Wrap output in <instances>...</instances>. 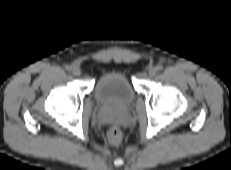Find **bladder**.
I'll return each instance as SVG.
<instances>
[{"instance_id": "1", "label": "bladder", "mask_w": 231, "mask_h": 170, "mask_svg": "<svg viewBox=\"0 0 231 170\" xmlns=\"http://www.w3.org/2000/svg\"><path fill=\"white\" fill-rule=\"evenodd\" d=\"M93 97L103 110L124 111L133 104L135 92L122 72L111 71L98 79Z\"/></svg>"}]
</instances>
